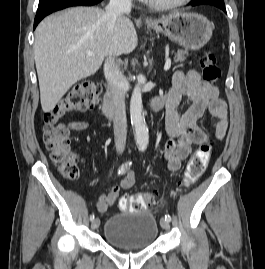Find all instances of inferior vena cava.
Segmentation results:
<instances>
[{"instance_id":"inferior-vena-cava-1","label":"inferior vena cava","mask_w":265,"mask_h":269,"mask_svg":"<svg viewBox=\"0 0 265 269\" xmlns=\"http://www.w3.org/2000/svg\"><path fill=\"white\" fill-rule=\"evenodd\" d=\"M131 11V0H110L105 11V20L109 32L115 28L117 20L124 14ZM104 75L111 88L114 105V141L117 153L122 154L127 137V118L125 108V92L122 87V74L119 68L111 59V55L107 58L104 65Z\"/></svg>"}]
</instances>
